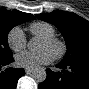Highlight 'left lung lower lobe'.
I'll list each match as a JSON object with an SVG mask.
<instances>
[{"instance_id":"obj_1","label":"left lung lower lobe","mask_w":89,"mask_h":89,"mask_svg":"<svg viewBox=\"0 0 89 89\" xmlns=\"http://www.w3.org/2000/svg\"><path fill=\"white\" fill-rule=\"evenodd\" d=\"M57 67L61 72L46 70V80L39 84V89H89V58L61 62Z\"/></svg>"}]
</instances>
